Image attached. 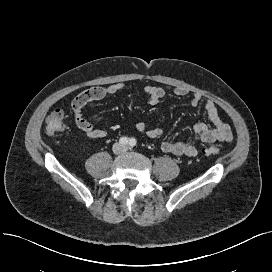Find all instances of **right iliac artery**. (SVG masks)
Segmentation results:
<instances>
[{
  "label": "right iliac artery",
  "instance_id": "82829eb1",
  "mask_svg": "<svg viewBox=\"0 0 272 272\" xmlns=\"http://www.w3.org/2000/svg\"><path fill=\"white\" fill-rule=\"evenodd\" d=\"M119 142L122 144V145H126L128 144L129 142V139L127 137H121Z\"/></svg>",
  "mask_w": 272,
  "mask_h": 272
}]
</instances>
